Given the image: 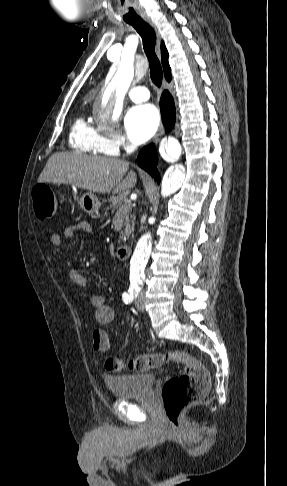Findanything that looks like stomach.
Masks as SVG:
<instances>
[{"label": "stomach", "instance_id": "stomach-1", "mask_svg": "<svg viewBox=\"0 0 287 486\" xmlns=\"http://www.w3.org/2000/svg\"><path fill=\"white\" fill-rule=\"evenodd\" d=\"M79 202L81 208L87 213H94L101 206L98 197L92 192L84 193Z\"/></svg>", "mask_w": 287, "mask_h": 486}]
</instances>
